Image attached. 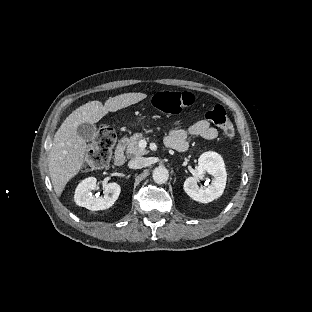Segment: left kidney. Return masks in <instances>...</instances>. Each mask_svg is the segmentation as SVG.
Instances as JSON below:
<instances>
[{
	"mask_svg": "<svg viewBox=\"0 0 312 312\" xmlns=\"http://www.w3.org/2000/svg\"><path fill=\"white\" fill-rule=\"evenodd\" d=\"M208 175L211 184H205L204 189L197 185ZM207 180V182H208ZM226 184V170L221 156L215 152H206L199 158L197 175L188 177L184 182V191L195 201L210 203L222 196Z\"/></svg>",
	"mask_w": 312,
	"mask_h": 312,
	"instance_id": "1",
	"label": "left kidney"
}]
</instances>
